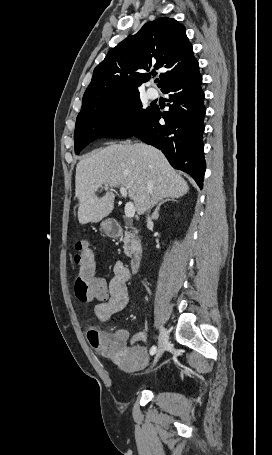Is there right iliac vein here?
Returning a JSON list of instances; mask_svg holds the SVG:
<instances>
[{"instance_id": "obj_1", "label": "right iliac vein", "mask_w": 272, "mask_h": 455, "mask_svg": "<svg viewBox=\"0 0 272 455\" xmlns=\"http://www.w3.org/2000/svg\"><path fill=\"white\" fill-rule=\"evenodd\" d=\"M168 346V332L165 327L160 328L159 341H158V350L154 358L152 367L158 362L159 358L162 356L164 351Z\"/></svg>"}]
</instances>
